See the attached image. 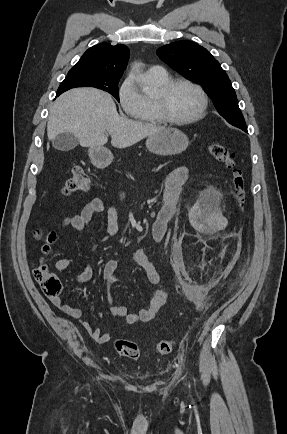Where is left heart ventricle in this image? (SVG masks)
Segmentation results:
<instances>
[{
    "instance_id": "obj_1",
    "label": "left heart ventricle",
    "mask_w": 287,
    "mask_h": 434,
    "mask_svg": "<svg viewBox=\"0 0 287 434\" xmlns=\"http://www.w3.org/2000/svg\"><path fill=\"white\" fill-rule=\"evenodd\" d=\"M169 115L175 119H185L193 116L200 107V97L189 86L178 85L165 98Z\"/></svg>"
}]
</instances>
